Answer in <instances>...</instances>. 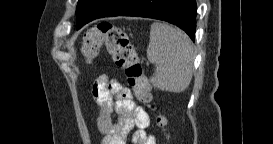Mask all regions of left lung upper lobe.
I'll return each mask as SVG.
<instances>
[{
    "label": "left lung upper lobe",
    "mask_w": 273,
    "mask_h": 144,
    "mask_svg": "<svg viewBox=\"0 0 273 144\" xmlns=\"http://www.w3.org/2000/svg\"><path fill=\"white\" fill-rule=\"evenodd\" d=\"M95 1L96 0H79L76 11L86 7L87 4L93 5L95 3Z\"/></svg>",
    "instance_id": "1"
}]
</instances>
